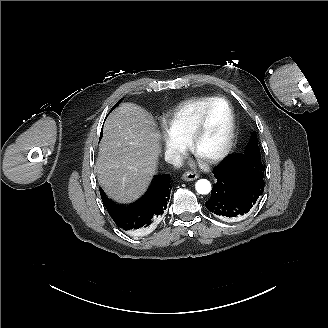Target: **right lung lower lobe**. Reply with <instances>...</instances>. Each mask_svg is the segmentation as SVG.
<instances>
[{
  "label": "right lung lower lobe",
  "instance_id": "1",
  "mask_svg": "<svg viewBox=\"0 0 328 328\" xmlns=\"http://www.w3.org/2000/svg\"><path fill=\"white\" fill-rule=\"evenodd\" d=\"M169 177L164 174L154 178L144 196L129 206L119 205L108 199L100 188L101 199L115 224L125 231H134L149 227L162 216L172 188Z\"/></svg>",
  "mask_w": 328,
  "mask_h": 328
}]
</instances>
